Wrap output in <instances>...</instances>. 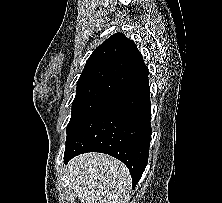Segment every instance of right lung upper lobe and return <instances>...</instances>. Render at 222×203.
Returning <instances> with one entry per match:
<instances>
[{"instance_id":"obj_1","label":"right lung upper lobe","mask_w":222,"mask_h":203,"mask_svg":"<svg viewBox=\"0 0 222 203\" xmlns=\"http://www.w3.org/2000/svg\"><path fill=\"white\" fill-rule=\"evenodd\" d=\"M146 69L136 44L123 33H116L91 54L77 82V91L99 89L114 93Z\"/></svg>"}]
</instances>
